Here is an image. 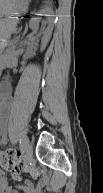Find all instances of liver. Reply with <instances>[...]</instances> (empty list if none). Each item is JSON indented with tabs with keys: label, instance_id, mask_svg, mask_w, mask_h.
I'll use <instances>...</instances> for the list:
<instances>
[{
	"label": "liver",
	"instance_id": "liver-1",
	"mask_svg": "<svg viewBox=\"0 0 103 193\" xmlns=\"http://www.w3.org/2000/svg\"><path fill=\"white\" fill-rule=\"evenodd\" d=\"M4 1H5V0H1V6L3 5Z\"/></svg>",
	"mask_w": 103,
	"mask_h": 193
}]
</instances>
